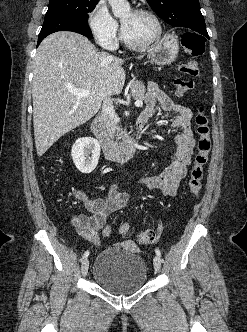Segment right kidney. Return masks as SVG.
I'll return each mask as SVG.
<instances>
[{"mask_svg": "<svg viewBox=\"0 0 247 332\" xmlns=\"http://www.w3.org/2000/svg\"><path fill=\"white\" fill-rule=\"evenodd\" d=\"M100 144L91 137L79 138L72 146L71 156L76 168L81 173H91L97 166L100 157Z\"/></svg>", "mask_w": 247, "mask_h": 332, "instance_id": "obj_1", "label": "right kidney"}]
</instances>
